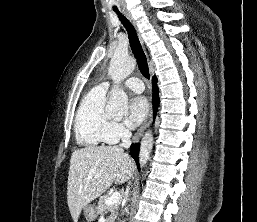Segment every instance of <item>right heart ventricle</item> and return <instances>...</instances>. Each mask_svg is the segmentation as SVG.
Listing matches in <instances>:
<instances>
[{
	"instance_id": "1",
	"label": "right heart ventricle",
	"mask_w": 257,
	"mask_h": 222,
	"mask_svg": "<svg viewBox=\"0 0 257 222\" xmlns=\"http://www.w3.org/2000/svg\"><path fill=\"white\" fill-rule=\"evenodd\" d=\"M105 106L106 90L101 86L93 88L83 98L75 117L78 144L98 147L108 143L107 130L112 121Z\"/></svg>"
}]
</instances>
